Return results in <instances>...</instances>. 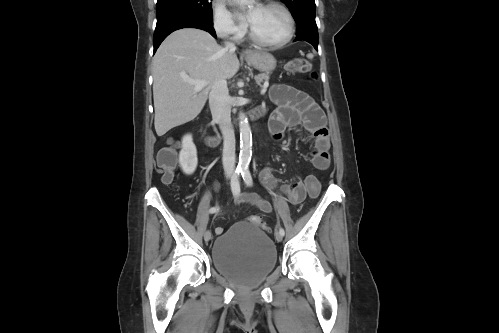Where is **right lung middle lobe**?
Listing matches in <instances>:
<instances>
[{
    "instance_id": "dd1d6c3e",
    "label": "right lung middle lobe",
    "mask_w": 499,
    "mask_h": 333,
    "mask_svg": "<svg viewBox=\"0 0 499 333\" xmlns=\"http://www.w3.org/2000/svg\"><path fill=\"white\" fill-rule=\"evenodd\" d=\"M211 0H158L157 25L175 19L212 21Z\"/></svg>"
}]
</instances>
